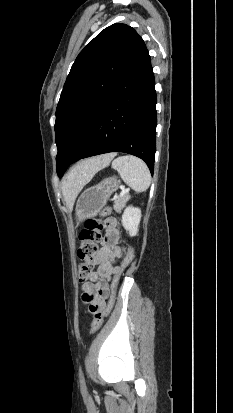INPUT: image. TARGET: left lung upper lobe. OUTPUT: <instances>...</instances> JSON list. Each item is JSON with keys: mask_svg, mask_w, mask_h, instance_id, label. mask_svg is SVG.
Instances as JSON below:
<instances>
[{"mask_svg": "<svg viewBox=\"0 0 233 413\" xmlns=\"http://www.w3.org/2000/svg\"><path fill=\"white\" fill-rule=\"evenodd\" d=\"M143 45L134 28L113 24L77 56L56 109L58 176L76 154L93 119L109 99Z\"/></svg>", "mask_w": 233, "mask_h": 413, "instance_id": "1", "label": "left lung upper lobe"}]
</instances>
